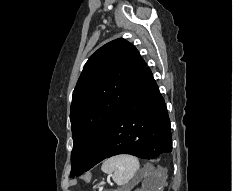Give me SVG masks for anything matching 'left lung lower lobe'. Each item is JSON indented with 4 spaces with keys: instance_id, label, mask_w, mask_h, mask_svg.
Instances as JSON below:
<instances>
[{
    "instance_id": "0a47b994",
    "label": "left lung lower lobe",
    "mask_w": 233,
    "mask_h": 191,
    "mask_svg": "<svg viewBox=\"0 0 233 191\" xmlns=\"http://www.w3.org/2000/svg\"><path fill=\"white\" fill-rule=\"evenodd\" d=\"M171 151L172 136L166 105L151 70L146 67L79 175L114 155L131 154L154 159Z\"/></svg>"
}]
</instances>
